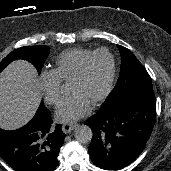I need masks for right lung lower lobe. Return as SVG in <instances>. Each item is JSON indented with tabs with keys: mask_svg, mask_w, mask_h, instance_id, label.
Wrapping results in <instances>:
<instances>
[{
	"mask_svg": "<svg viewBox=\"0 0 171 171\" xmlns=\"http://www.w3.org/2000/svg\"><path fill=\"white\" fill-rule=\"evenodd\" d=\"M64 138L61 125L53 127L51 114L41 103L24 127L0 129V156L15 171H53Z\"/></svg>",
	"mask_w": 171,
	"mask_h": 171,
	"instance_id": "right-lung-lower-lobe-1",
	"label": "right lung lower lobe"
}]
</instances>
